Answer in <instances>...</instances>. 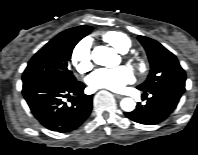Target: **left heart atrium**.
<instances>
[{"mask_svg": "<svg viewBox=\"0 0 198 155\" xmlns=\"http://www.w3.org/2000/svg\"><path fill=\"white\" fill-rule=\"evenodd\" d=\"M133 79V73L128 67L119 66L95 71L88 77V84L94 89L121 91Z\"/></svg>", "mask_w": 198, "mask_h": 155, "instance_id": "left-heart-atrium-1", "label": "left heart atrium"}]
</instances>
